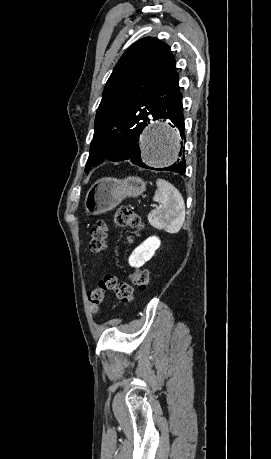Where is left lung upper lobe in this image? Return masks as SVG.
<instances>
[{"mask_svg": "<svg viewBox=\"0 0 271 459\" xmlns=\"http://www.w3.org/2000/svg\"><path fill=\"white\" fill-rule=\"evenodd\" d=\"M174 72L175 58L170 47L156 38H143L125 51L106 83L97 109L85 172L106 159L113 137L147 112L153 89Z\"/></svg>", "mask_w": 271, "mask_h": 459, "instance_id": "5c2ea615", "label": "left lung upper lobe"}]
</instances>
